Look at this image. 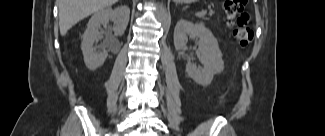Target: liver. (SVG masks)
I'll return each instance as SVG.
<instances>
[{"mask_svg":"<svg viewBox=\"0 0 325 136\" xmlns=\"http://www.w3.org/2000/svg\"><path fill=\"white\" fill-rule=\"evenodd\" d=\"M118 0H57L60 34L64 36L76 23Z\"/></svg>","mask_w":325,"mask_h":136,"instance_id":"obj_1","label":"liver"}]
</instances>
